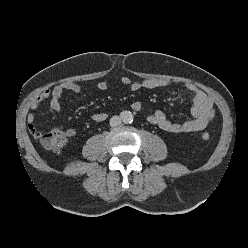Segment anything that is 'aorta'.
Masks as SVG:
<instances>
[{
  "label": "aorta",
  "mask_w": 248,
  "mask_h": 248,
  "mask_svg": "<svg viewBox=\"0 0 248 248\" xmlns=\"http://www.w3.org/2000/svg\"><path fill=\"white\" fill-rule=\"evenodd\" d=\"M121 118L124 123H131L133 121V115L130 111H124L121 114Z\"/></svg>",
  "instance_id": "obj_1"
}]
</instances>
